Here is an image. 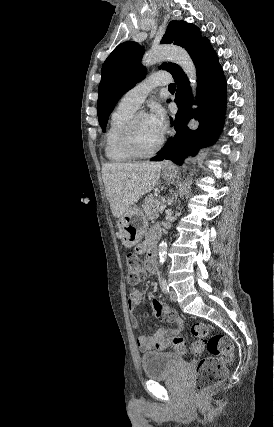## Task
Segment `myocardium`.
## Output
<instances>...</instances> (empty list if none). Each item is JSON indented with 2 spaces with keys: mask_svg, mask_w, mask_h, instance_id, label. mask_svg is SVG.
I'll use <instances>...</instances> for the list:
<instances>
[{
  "mask_svg": "<svg viewBox=\"0 0 274 427\" xmlns=\"http://www.w3.org/2000/svg\"><path fill=\"white\" fill-rule=\"evenodd\" d=\"M142 114H146V113L143 111H140L135 113L131 117V119L128 121L127 125L125 126V129L122 135L123 147L133 159L152 158L163 148L165 144V138L162 137V139L159 141L156 147L150 152L141 153L137 150L136 144H135V130H136L137 121Z\"/></svg>",
  "mask_w": 274,
  "mask_h": 427,
  "instance_id": "f54148a6",
  "label": "myocardium"
}]
</instances>
